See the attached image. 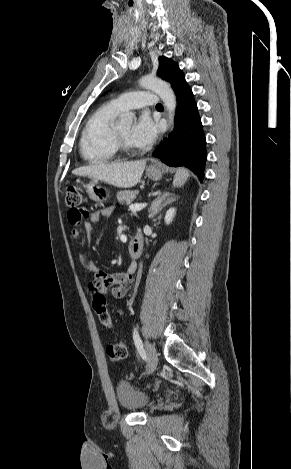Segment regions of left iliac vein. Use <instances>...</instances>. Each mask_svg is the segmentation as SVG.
<instances>
[{
  "instance_id": "left-iliac-vein-1",
  "label": "left iliac vein",
  "mask_w": 291,
  "mask_h": 469,
  "mask_svg": "<svg viewBox=\"0 0 291 469\" xmlns=\"http://www.w3.org/2000/svg\"><path fill=\"white\" fill-rule=\"evenodd\" d=\"M146 350H147V355H148V374H150L157 367L158 356L153 346L149 342H146Z\"/></svg>"
}]
</instances>
